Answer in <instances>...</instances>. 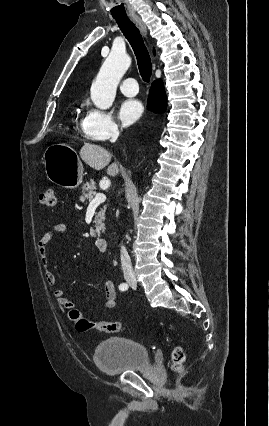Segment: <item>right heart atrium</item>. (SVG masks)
<instances>
[{"label": "right heart atrium", "instance_id": "right-heart-atrium-1", "mask_svg": "<svg viewBox=\"0 0 269 426\" xmlns=\"http://www.w3.org/2000/svg\"><path fill=\"white\" fill-rule=\"evenodd\" d=\"M82 132L91 140L105 141L120 134V128L110 113L89 106L82 120Z\"/></svg>", "mask_w": 269, "mask_h": 426}]
</instances>
